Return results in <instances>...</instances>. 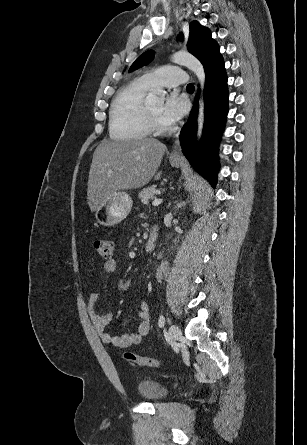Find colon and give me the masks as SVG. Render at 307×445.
<instances>
[{
	"mask_svg": "<svg viewBox=\"0 0 307 445\" xmlns=\"http://www.w3.org/2000/svg\"><path fill=\"white\" fill-rule=\"evenodd\" d=\"M95 249L104 259H110L113 253V244L108 240H96L94 242ZM123 358L126 362L136 364L142 367H158L160 361L156 358L141 357L132 352H125Z\"/></svg>",
	"mask_w": 307,
	"mask_h": 445,
	"instance_id": "5ec220e1",
	"label": "colon"
}]
</instances>
